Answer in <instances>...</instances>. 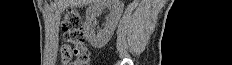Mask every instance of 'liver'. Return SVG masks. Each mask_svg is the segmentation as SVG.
<instances>
[{"label": "liver", "mask_w": 232, "mask_h": 65, "mask_svg": "<svg viewBox=\"0 0 232 65\" xmlns=\"http://www.w3.org/2000/svg\"><path fill=\"white\" fill-rule=\"evenodd\" d=\"M95 0H58L57 4L61 11L68 8H75L79 6L88 5L93 3Z\"/></svg>", "instance_id": "obj_1"}]
</instances>
